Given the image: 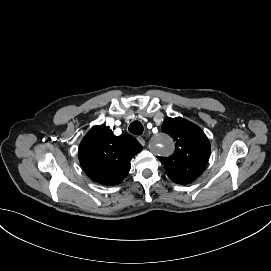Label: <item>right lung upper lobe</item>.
<instances>
[{
  "instance_id": "cb5924a9",
  "label": "right lung upper lobe",
  "mask_w": 271,
  "mask_h": 271,
  "mask_svg": "<svg viewBox=\"0 0 271 271\" xmlns=\"http://www.w3.org/2000/svg\"><path fill=\"white\" fill-rule=\"evenodd\" d=\"M143 147L131 135L115 136L109 127H93L79 146V160L86 174L103 185H116L130 170V160Z\"/></svg>"
}]
</instances>
